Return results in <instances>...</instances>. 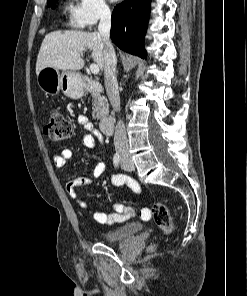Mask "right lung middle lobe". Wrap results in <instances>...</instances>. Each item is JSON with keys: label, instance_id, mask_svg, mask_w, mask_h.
I'll return each instance as SVG.
<instances>
[{"label": "right lung middle lobe", "instance_id": "obj_1", "mask_svg": "<svg viewBox=\"0 0 247 296\" xmlns=\"http://www.w3.org/2000/svg\"><path fill=\"white\" fill-rule=\"evenodd\" d=\"M58 0H48V6H51L52 8L54 7L55 2Z\"/></svg>", "mask_w": 247, "mask_h": 296}]
</instances>
